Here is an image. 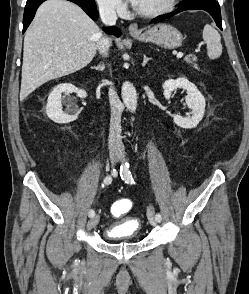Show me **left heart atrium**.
<instances>
[{
	"label": "left heart atrium",
	"mask_w": 249,
	"mask_h": 294,
	"mask_svg": "<svg viewBox=\"0 0 249 294\" xmlns=\"http://www.w3.org/2000/svg\"><path fill=\"white\" fill-rule=\"evenodd\" d=\"M133 3H136V0H131Z\"/></svg>",
	"instance_id": "left-heart-atrium-1"
}]
</instances>
